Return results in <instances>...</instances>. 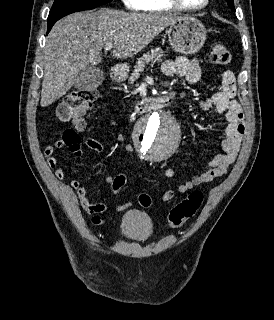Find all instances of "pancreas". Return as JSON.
Instances as JSON below:
<instances>
[{
    "label": "pancreas",
    "instance_id": "cf45deb5",
    "mask_svg": "<svg viewBox=\"0 0 274 320\" xmlns=\"http://www.w3.org/2000/svg\"><path fill=\"white\" fill-rule=\"evenodd\" d=\"M163 56H165V54L163 50H161V48H155V50H151V52L143 54V56L139 58L136 66H134L135 70L129 78V84H134L135 80H138V78H140L147 64H155V62H161V58H163Z\"/></svg>",
    "mask_w": 274,
    "mask_h": 320
}]
</instances>
